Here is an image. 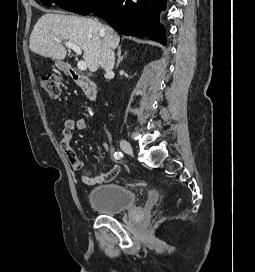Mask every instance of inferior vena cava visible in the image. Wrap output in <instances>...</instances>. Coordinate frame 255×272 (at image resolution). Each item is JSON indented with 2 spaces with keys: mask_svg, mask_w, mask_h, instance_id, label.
Wrapping results in <instances>:
<instances>
[{
  "mask_svg": "<svg viewBox=\"0 0 255 272\" xmlns=\"http://www.w3.org/2000/svg\"><path fill=\"white\" fill-rule=\"evenodd\" d=\"M99 64L106 71V73H110L113 70L115 64L114 51L108 48L106 45H103Z\"/></svg>",
  "mask_w": 255,
  "mask_h": 272,
  "instance_id": "602c4592",
  "label": "inferior vena cava"
}]
</instances>
